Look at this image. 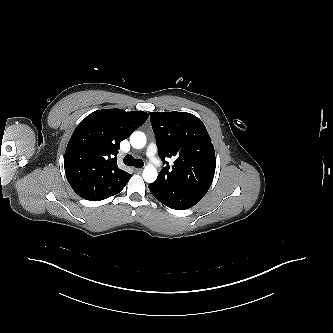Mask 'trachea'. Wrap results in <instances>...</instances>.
Returning a JSON list of instances; mask_svg holds the SVG:
<instances>
[{"instance_id":"1","label":"trachea","mask_w":333,"mask_h":333,"mask_svg":"<svg viewBox=\"0 0 333 333\" xmlns=\"http://www.w3.org/2000/svg\"><path fill=\"white\" fill-rule=\"evenodd\" d=\"M123 162L127 166H134L136 168H141L144 166V162L141 159H135L132 155H126Z\"/></svg>"}]
</instances>
